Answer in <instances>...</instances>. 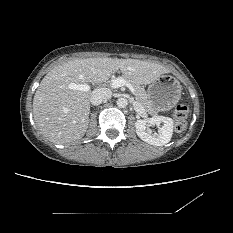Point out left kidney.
<instances>
[{"label": "left kidney", "instance_id": "5707ae66", "mask_svg": "<svg viewBox=\"0 0 233 233\" xmlns=\"http://www.w3.org/2000/svg\"><path fill=\"white\" fill-rule=\"evenodd\" d=\"M162 123L163 126H161ZM148 124L156 125L159 129L158 133H149L147 130ZM173 125V120L164 116H153L151 118L140 119L135 122L138 137L144 142L155 146H162L170 141L173 134Z\"/></svg>", "mask_w": 233, "mask_h": 233}]
</instances>
